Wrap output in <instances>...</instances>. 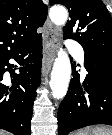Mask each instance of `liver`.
<instances>
[{
    "instance_id": "obj_1",
    "label": "liver",
    "mask_w": 112,
    "mask_h": 135,
    "mask_svg": "<svg viewBox=\"0 0 112 135\" xmlns=\"http://www.w3.org/2000/svg\"><path fill=\"white\" fill-rule=\"evenodd\" d=\"M0 135H9V133L3 131V130H0Z\"/></svg>"
}]
</instances>
